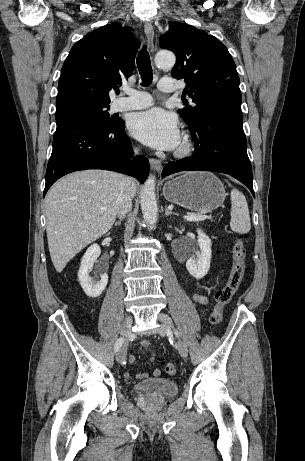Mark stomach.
Here are the masks:
<instances>
[{
    "label": "stomach",
    "instance_id": "obj_1",
    "mask_svg": "<svg viewBox=\"0 0 305 461\" xmlns=\"http://www.w3.org/2000/svg\"><path fill=\"white\" fill-rule=\"evenodd\" d=\"M163 195L171 203L201 212L221 206L226 192L222 182L214 174L192 171L166 182Z\"/></svg>",
    "mask_w": 305,
    "mask_h": 461
}]
</instances>
